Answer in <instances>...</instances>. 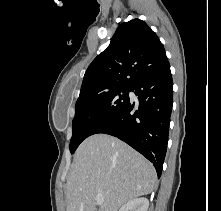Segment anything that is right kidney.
<instances>
[{
    "label": "right kidney",
    "instance_id": "right-kidney-1",
    "mask_svg": "<svg viewBox=\"0 0 221 211\" xmlns=\"http://www.w3.org/2000/svg\"><path fill=\"white\" fill-rule=\"evenodd\" d=\"M149 207L148 199L135 198L124 204L119 211H147Z\"/></svg>",
    "mask_w": 221,
    "mask_h": 211
}]
</instances>
